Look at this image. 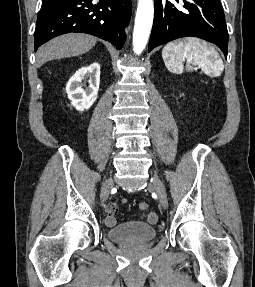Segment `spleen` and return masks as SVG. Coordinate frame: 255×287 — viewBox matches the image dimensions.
I'll return each instance as SVG.
<instances>
[{"label":"spleen","instance_id":"1","mask_svg":"<svg viewBox=\"0 0 255 287\" xmlns=\"http://www.w3.org/2000/svg\"><path fill=\"white\" fill-rule=\"evenodd\" d=\"M162 58L166 68L176 74H182L184 60H189L193 66L201 64L203 72L210 74L211 78H218L224 70L219 54L198 38L169 42L162 50Z\"/></svg>","mask_w":255,"mask_h":287}]
</instances>
